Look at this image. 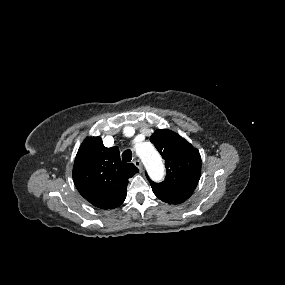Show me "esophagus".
I'll return each instance as SVG.
<instances>
[{
	"instance_id": "obj_1",
	"label": "esophagus",
	"mask_w": 285,
	"mask_h": 285,
	"mask_svg": "<svg viewBox=\"0 0 285 285\" xmlns=\"http://www.w3.org/2000/svg\"><path fill=\"white\" fill-rule=\"evenodd\" d=\"M133 163L140 171H142L143 167H142V163H141L140 160L136 159V160L133 161Z\"/></svg>"
}]
</instances>
